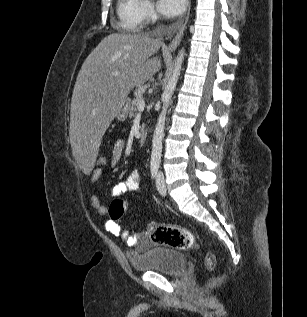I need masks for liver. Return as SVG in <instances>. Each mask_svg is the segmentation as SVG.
I'll return each instance as SVG.
<instances>
[{"label": "liver", "instance_id": "liver-1", "mask_svg": "<svg viewBox=\"0 0 307 317\" xmlns=\"http://www.w3.org/2000/svg\"><path fill=\"white\" fill-rule=\"evenodd\" d=\"M161 46L144 34L112 33L84 61L72 94L69 130L83 175H92L102 137L130 91L161 69V59L151 58Z\"/></svg>", "mask_w": 307, "mask_h": 317}]
</instances>
